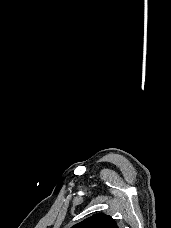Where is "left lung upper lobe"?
I'll use <instances>...</instances> for the list:
<instances>
[{
    "label": "left lung upper lobe",
    "mask_w": 171,
    "mask_h": 228,
    "mask_svg": "<svg viewBox=\"0 0 171 228\" xmlns=\"http://www.w3.org/2000/svg\"><path fill=\"white\" fill-rule=\"evenodd\" d=\"M72 228H118V226L111 216L99 213L86 218Z\"/></svg>",
    "instance_id": "5c2ea615"
}]
</instances>
